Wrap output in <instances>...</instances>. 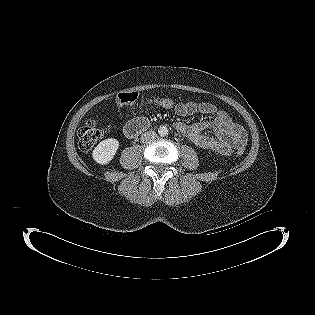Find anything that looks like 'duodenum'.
Wrapping results in <instances>:
<instances>
[{"label": "duodenum", "mask_w": 315, "mask_h": 315, "mask_svg": "<svg viewBox=\"0 0 315 315\" xmlns=\"http://www.w3.org/2000/svg\"><path fill=\"white\" fill-rule=\"evenodd\" d=\"M149 127V122L144 118L130 121L124 128L127 137L133 138L145 131Z\"/></svg>", "instance_id": "obj_1"}]
</instances>
